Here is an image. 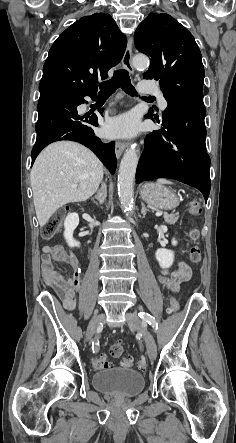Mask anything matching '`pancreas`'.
Returning <instances> with one entry per match:
<instances>
[{
    "label": "pancreas",
    "instance_id": "pancreas-1",
    "mask_svg": "<svg viewBox=\"0 0 236 443\" xmlns=\"http://www.w3.org/2000/svg\"><path fill=\"white\" fill-rule=\"evenodd\" d=\"M178 218H179L178 213L167 214V215H164V222L167 224H175L177 222Z\"/></svg>",
    "mask_w": 236,
    "mask_h": 443
}]
</instances>
